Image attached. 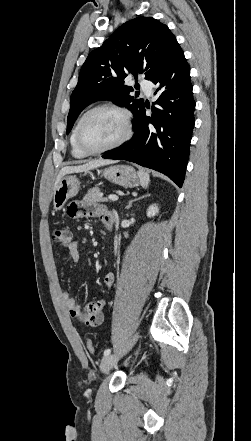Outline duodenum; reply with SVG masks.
I'll return each instance as SVG.
<instances>
[{"label":"duodenum","mask_w":251,"mask_h":441,"mask_svg":"<svg viewBox=\"0 0 251 441\" xmlns=\"http://www.w3.org/2000/svg\"><path fill=\"white\" fill-rule=\"evenodd\" d=\"M113 224H114V221H113V220H109V221H107V222L105 223V226H106V228H107L109 231H111L112 228H113Z\"/></svg>","instance_id":"obj_1"}]
</instances>
